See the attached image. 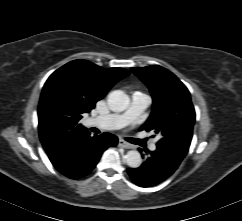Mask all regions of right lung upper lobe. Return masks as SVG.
Segmentation results:
<instances>
[{
	"label": "right lung upper lobe",
	"mask_w": 242,
	"mask_h": 221,
	"mask_svg": "<svg viewBox=\"0 0 242 221\" xmlns=\"http://www.w3.org/2000/svg\"><path fill=\"white\" fill-rule=\"evenodd\" d=\"M129 72L104 69L86 60H74L56 70L46 81L38 106L39 135L46 152L65 139L87 131L79 121L95 103Z\"/></svg>",
	"instance_id": "cb5924a9"
}]
</instances>
